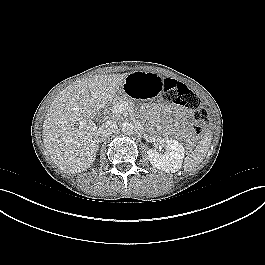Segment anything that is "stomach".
Here are the masks:
<instances>
[{
	"instance_id": "stomach-1",
	"label": "stomach",
	"mask_w": 265,
	"mask_h": 265,
	"mask_svg": "<svg viewBox=\"0 0 265 265\" xmlns=\"http://www.w3.org/2000/svg\"><path fill=\"white\" fill-rule=\"evenodd\" d=\"M163 80L155 73L136 71L131 73L122 86L132 105L147 109L156 104L162 92Z\"/></svg>"
}]
</instances>
